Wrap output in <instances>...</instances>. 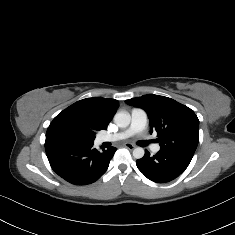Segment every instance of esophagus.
Returning a JSON list of instances; mask_svg holds the SVG:
<instances>
[{"instance_id":"obj_1","label":"esophagus","mask_w":235,"mask_h":235,"mask_svg":"<svg viewBox=\"0 0 235 235\" xmlns=\"http://www.w3.org/2000/svg\"><path fill=\"white\" fill-rule=\"evenodd\" d=\"M124 147L128 148L129 150H133L136 146L132 143H124Z\"/></svg>"}]
</instances>
